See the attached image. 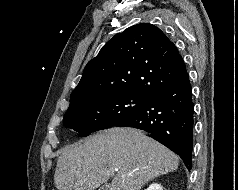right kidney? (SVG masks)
<instances>
[{"mask_svg": "<svg viewBox=\"0 0 238 190\" xmlns=\"http://www.w3.org/2000/svg\"><path fill=\"white\" fill-rule=\"evenodd\" d=\"M145 190H163L162 186L158 183H153Z\"/></svg>", "mask_w": 238, "mask_h": 190, "instance_id": "right-kidney-1", "label": "right kidney"}]
</instances>
